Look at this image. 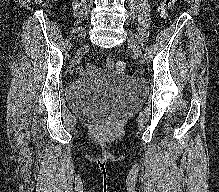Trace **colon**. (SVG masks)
I'll return each mask as SVG.
<instances>
[{
    "instance_id": "colon-1",
    "label": "colon",
    "mask_w": 219,
    "mask_h": 192,
    "mask_svg": "<svg viewBox=\"0 0 219 192\" xmlns=\"http://www.w3.org/2000/svg\"><path fill=\"white\" fill-rule=\"evenodd\" d=\"M37 4H47L49 0H35ZM176 0H162L159 6V10L163 16H166L170 8L174 5ZM110 66H113L117 73L124 74L127 69V63L125 61L113 62L112 60L108 61Z\"/></svg>"
}]
</instances>
